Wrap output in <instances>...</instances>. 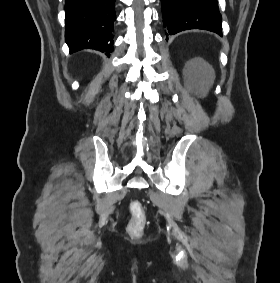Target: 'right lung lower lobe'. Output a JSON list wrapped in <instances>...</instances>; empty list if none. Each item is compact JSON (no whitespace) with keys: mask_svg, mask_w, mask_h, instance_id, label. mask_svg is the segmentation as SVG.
<instances>
[{"mask_svg":"<svg viewBox=\"0 0 280 283\" xmlns=\"http://www.w3.org/2000/svg\"><path fill=\"white\" fill-rule=\"evenodd\" d=\"M116 0H66L65 41L70 52L82 49L113 51Z\"/></svg>","mask_w":280,"mask_h":283,"instance_id":"1","label":"right lung lower lobe"}]
</instances>
